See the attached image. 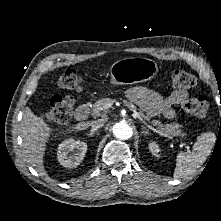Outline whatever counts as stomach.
Listing matches in <instances>:
<instances>
[{
	"label": "stomach",
	"instance_id": "1",
	"mask_svg": "<svg viewBox=\"0 0 221 221\" xmlns=\"http://www.w3.org/2000/svg\"><path fill=\"white\" fill-rule=\"evenodd\" d=\"M158 72L155 61L143 57L123 58L111 67L110 83L114 86L131 85L153 79Z\"/></svg>",
	"mask_w": 221,
	"mask_h": 221
}]
</instances>
